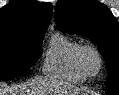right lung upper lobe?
I'll return each instance as SVG.
<instances>
[{"label": "right lung upper lobe", "mask_w": 119, "mask_h": 95, "mask_svg": "<svg viewBox=\"0 0 119 95\" xmlns=\"http://www.w3.org/2000/svg\"><path fill=\"white\" fill-rule=\"evenodd\" d=\"M52 17V5L30 0H11L0 9V35L15 31L47 30Z\"/></svg>", "instance_id": "1"}]
</instances>
